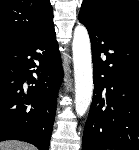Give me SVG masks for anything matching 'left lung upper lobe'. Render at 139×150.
Returning <instances> with one entry per match:
<instances>
[{"label": "left lung upper lobe", "instance_id": "5c2ea615", "mask_svg": "<svg viewBox=\"0 0 139 150\" xmlns=\"http://www.w3.org/2000/svg\"><path fill=\"white\" fill-rule=\"evenodd\" d=\"M136 13L139 14L137 0H84L80 10V14L103 24H112Z\"/></svg>", "mask_w": 139, "mask_h": 150}]
</instances>
